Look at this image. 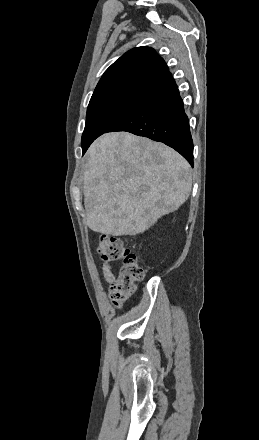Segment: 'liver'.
<instances>
[{
	"instance_id": "6515ba94",
	"label": "liver",
	"mask_w": 259,
	"mask_h": 440,
	"mask_svg": "<svg viewBox=\"0 0 259 440\" xmlns=\"http://www.w3.org/2000/svg\"><path fill=\"white\" fill-rule=\"evenodd\" d=\"M83 181L88 227L112 236L145 232L178 210L192 188L190 165L179 153L128 132L91 144Z\"/></svg>"
}]
</instances>
